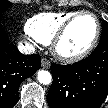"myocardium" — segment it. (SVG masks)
Returning <instances> with one entry per match:
<instances>
[{
    "label": "myocardium",
    "mask_w": 108,
    "mask_h": 108,
    "mask_svg": "<svg viewBox=\"0 0 108 108\" xmlns=\"http://www.w3.org/2000/svg\"><path fill=\"white\" fill-rule=\"evenodd\" d=\"M84 16H90L95 21L96 30H95V34H94L92 41L84 50H82L78 53L68 54V53L63 52L61 50L62 41L64 40L65 36L67 35V33H68L69 29L72 27V25L78 19H80L81 17H84ZM100 32H101L100 22L94 13L89 12V11L78 12L75 15H73L71 18H69L61 26V28L58 30V32L53 37L52 42H51L52 52L59 60L65 62V63H73V62L80 61V60L86 58L93 51V49L96 47L99 37H100Z\"/></svg>",
    "instance_id": "myocardium-1"
}]
</instances>
